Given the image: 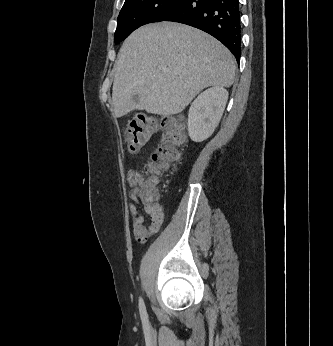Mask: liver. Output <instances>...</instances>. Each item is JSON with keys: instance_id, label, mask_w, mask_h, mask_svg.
<instances>
[{"instance_id": "obj_1", "label": "liver", "mask_w": 333, "mask_h": 346, "mask_svg": "<svg viewBox=\"0 0 333 346\" xmlns=\"http://www.w3.org/2000/svg\"><path fill=\"white\" fill-rule=\"evenodd\" d=\"M235 70L230 51L199 29L169 22L143 26L125 40L118 53L113 114L117 118L133 110L178 114L204 88L230 87ZM133 95H139L137 102Z\"/></svg>"}]
</instances>
